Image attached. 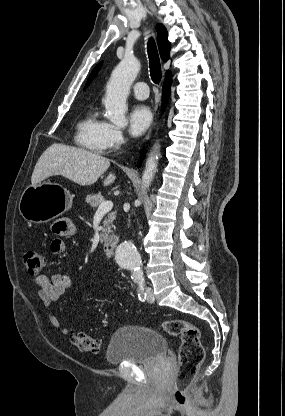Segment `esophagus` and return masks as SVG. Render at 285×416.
<instances>
[{"instance_id": "34e87169", "label": "esophagus", "mask_w": 285, "mask_h": 416, "mask_svg": "<svg viewBox=\"0 0 285 416\" xmlns=\"http://www.w3.org/2000/svg\"><path fill=\"white\" fill-rule=\"evenodd\" d=\"M151 132H152V130H150V131L148 132V134L146 135V137H145L144 141H146V140H148V139L150 138Z\"/></svg>"}]
</instances>
